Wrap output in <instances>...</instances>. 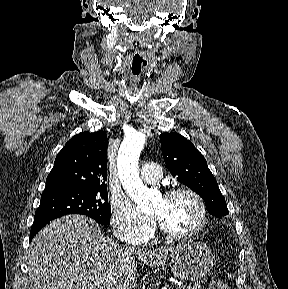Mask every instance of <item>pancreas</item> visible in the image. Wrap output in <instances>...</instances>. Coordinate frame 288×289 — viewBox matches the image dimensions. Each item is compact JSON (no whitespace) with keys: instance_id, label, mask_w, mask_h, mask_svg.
Wrapping results in <instances>:
<instances>
[{"instance_id":"1","label":"pancreas","mask_w":288,"mask_h":289,"mask_svg":"<svg viewBox=\"0 0 288 289\" xmlns=\"http://www.w3.org/2000/svg\"><path fill=\"white\" fill-rule=\"evenodd\" d=\"M176 289H202V284L196 283L193 286L192 285H183L181 287H177Z\"/></svg>"}]
</instances>
